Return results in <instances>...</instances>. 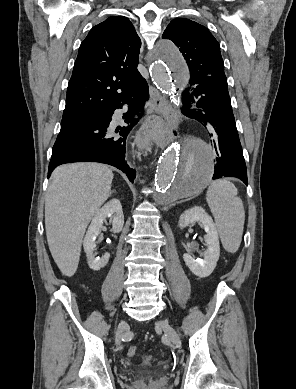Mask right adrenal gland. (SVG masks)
<instances>
[{"label":"right adrenal gland","instance_id":"right-adrenal-gland-1","mask_svg":"<svg viewBox=\"0 0 296 389\" xmlns=\"http://www.w3.org/2000/svg\"><path fill=\"white\" fill-rule=\"evenodd\" d=\"M112 193H116V190L111 191L110 195H111Z\"/></svg>","mask_w":296,"mask_h":389}]
</instances>
